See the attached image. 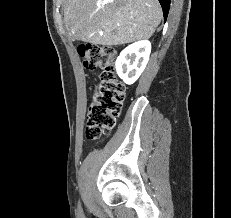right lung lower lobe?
I'll return each instance as SVG.
<instances>
[{"mask_svg": "<svg viewBox=\"0 0 231 218\" xmlns=\"http://www.w3.org/2000/svg\"><path fill=\"white\" fill-rule=\"evenodd\" d=\"M170 1L171 0H159L161 7L163 9V15H164L165 20L167 18L168 12H169Z\"/></svg>", "mask_w": 231, "mask_h": 218, "instance_id": "1", "label": "right lung lower lobe"}]
</instances>
